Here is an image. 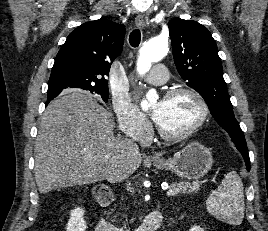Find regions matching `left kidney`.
Masks as SVG:
<instances>
[{"label":"left kidney","instance_id":"left-kidney-1","mask_svg":"<svg viewBox=\"0 0 268 231\" xmlns=\"http://www.w3.org/2000/svg\"><path fill=\"white\" fill-rule=\"evenodd\" d=\"M190 231H204L203 228H201L200 226H193Z\"/></svg>","mask_w":268,"mask_h":231}]
</instances>
